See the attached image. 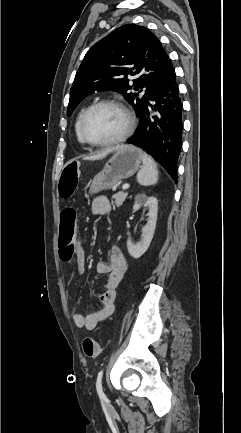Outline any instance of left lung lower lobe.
I'll return each instance as SVG.
<instances>
[{
  "mask_svg": "<svg viewBox=\"0 0 241 433\" xmlns=\"http://www.w3.org/2000/svg\"><path fill=\"white\" fill-rule=\"evenodd\" d=\"M149 101L139 116L135 134L127 143L143 148L174 180H177V161L182 144L183 106L172 64Z\"/></svg>",
  "mask_w": 241,
  "mask_h": 433,
  "instance_id": "1",
  "label": "left lung lower lobe"
}]
</instances>
